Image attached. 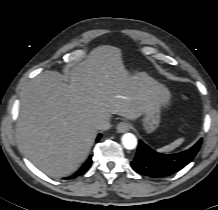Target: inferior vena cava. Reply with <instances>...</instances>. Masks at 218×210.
Wrapping results in <instances>:
<instances>
[{
  "label": "inferior vena cava",
  "mask_w": 218,
  "mask_h": 210,
  "mask_svg": "<svg viewBox=\"0 0 218 210\" xmlns=\"http://www.w3.org/2000/svg\"><path fill=\"white\" fill-rule=\"evenodd\" d=\"M96 128L98 130H108L111 128V124H110L109 120L101 121L96 125Z\"/></svg>",
  "instance_id": "602c4592"
}]
</instances>
